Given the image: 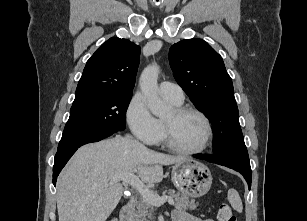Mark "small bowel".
Segmentation results:
<instances>
[{"label": "small bowel", "mask_w": 307, "mask_h": 221, "mask_svg": "<svg viewBox=\"0 0 307 221\" xmlns=\"http://www.w3.org/2000/svg\"><path fill=\"white\" fill-rule=\"evenodd\" d=\"M111 221H116L115 219ZM172 221H213L211 219H203L198 216H194L183 209H176L172 213Z\"/></svg>", "instance_id": "c3829d8e"}]
</instances>
